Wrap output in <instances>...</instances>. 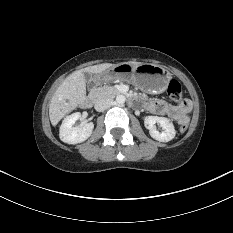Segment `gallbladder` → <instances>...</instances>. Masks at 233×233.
Returning a JSON list of instances; mask_svg holds the SVG:
<instances>
[{
  "instance_id": "bac80fb5",
  "label": "gallbladder",
  "mask_w": 233,
  "mask_h": 233,
  "mask_svg": "<svg viewBox=\"0 0 233 233\" xmlns=\"http://www.w3.org/2000/svg\"><path fill=\"white\" fill-rule=\"evenodd\" d=\"M84 78H85L87 84L89 85V83H90V81L92 79V75L90 73H88V72H84Z\"/></svg>"
}]
</instances>
